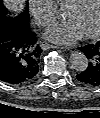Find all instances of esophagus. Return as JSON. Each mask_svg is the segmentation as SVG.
Masks as SVG:
<instances>
[{
  "label": "esophagus",
  "mask_w": 100,
  "mask_h": 118,
  "mask_svg": "<svg viewBox=\"0 0 100 118\" xmlns=\"http://www.w3.org/2000/svg\"><path fill=\"white\" fill-rule=\"evenodd\" d=\"M40 47L43 49V50H47V49H55L57 48V46H54L52 44H49L47 42H41L40 43ZM69 50V49H68Z\"/></svg>",
  "instance_id": "obj_1"
}]
</instances>
